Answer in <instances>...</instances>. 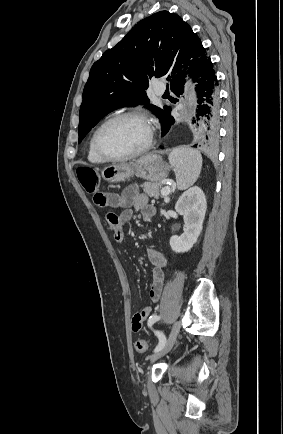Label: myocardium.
I'll use <instances>...</instances> for the list:
<instances>
[{
  "instance_id": "f54148a6",
  "label": "myocardium",
  "mask_w": 283,
  "mask_h": 434,
  "mask_svg": "<svg viewBox=\"0 0 283 434\" xmlns=\"http://www.w3.org/2000/svg\"><path fill=\"white\" fill-rule=\"evenodd\" d=\"M127 118L140 119L148 125V128H149L148 140L142 148H140L139 150H137L135 152H132L129 154H124V155H111V154L107 153L101 147L100 142H99L100 134L109 124H111L115 121L127 119ZM92 144H93V148H94L95 152L97 153V155L105 161L116 162V161H124V160L133 159V158H136V157H139V156L145 154L146 152H148L152 148V146L154 144V128H153V125H152V122H151L149 116L144 112L132 110V111H126V112L118 113V114H115V115L109 117L108 119H106L103 123H101L98 126V128L93 133Z\"/></svg>"
}]
</instances>
